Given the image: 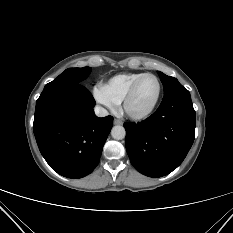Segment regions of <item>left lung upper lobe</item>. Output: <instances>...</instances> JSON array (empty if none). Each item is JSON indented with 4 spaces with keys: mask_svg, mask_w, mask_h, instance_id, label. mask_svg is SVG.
I'll return each instance as SVG.
<instances>
[{
    "mask_svg": "<svg viewBox=\"0 0 233 233\" xmlns=\"http://www.w3.org/2000/svg\"><path fill=\"white\" fill-rule=\"evenodd\" d=\"M159 77L164 85V97H169L177 93L188 92L176 78L167 76L162 72H158Z\"/></svg>",
    "mask_w": 233,
    "mask_h": 233,
    "instance_id": "obj_1",
    "label": "left lung upper lobe"
}]
</instances>
